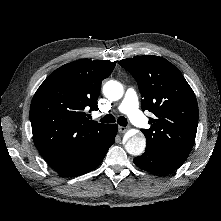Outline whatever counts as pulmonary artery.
I'll list each match as a JSON object with an SVG mask.
<instances>
[{
	"instance_id": "pulmonary-artery-1",
	"label": "pulmonary artery",
	"mask_w": 221,
	"mask_h": 221,
	"mask_svg": "<svg viewBox=\"0 0 221 221\" xmlns=\"http://www.w3.org/2000/svg\"><path fill=\"white\" fill-rule=\"evenodd\" d=\"M118 111L126 114L130 120L138 126H144L147 123L146 118L139 110L138 95L132 88L127 89L125 96L118 107Z\"/></svg>"
}]
</instances>
